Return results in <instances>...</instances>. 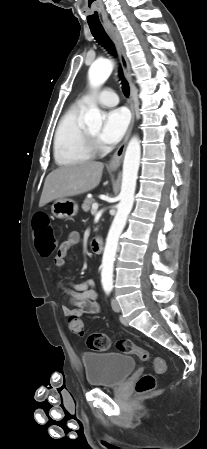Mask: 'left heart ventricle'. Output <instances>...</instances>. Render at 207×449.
I'll return each instance as SVG.
<instances>
[{"mask_svg": "<svg viewBox=\"0 0 207 449\" xmlns=\"http://www.w3.org/2000/svg\"><path fill=\"white\" fill-rule=\"evenodd\" d=\"M87 131L94 137L98 138L99 137V128H87Z\"/></svg>", "mask_w": 207, "mask_h": 449, "instance_id": "left-heart-ventricle-1", "label": "left heart ventricle"}]
</instances>
